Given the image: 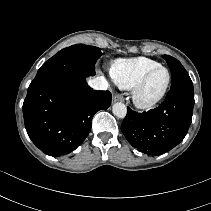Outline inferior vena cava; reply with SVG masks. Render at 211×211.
Segmentation results:
<instances>
[{
    "label": "inferior vena cava",
    "instance_id": "obj_1",
    "mask_svg": "<svg viewBox=\"0 0 211 211\" xmlns=\"http://www.w3.org/2000/svg\"><path fill=\"white\" fill-rule=\"evenodd\" d=\"M88 84L95 90H107L108 88V82L103 76L90 80Z\"/></svg>",
    "mask_w": 211,
    "mask_h": 211
}]
</instances>
